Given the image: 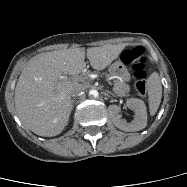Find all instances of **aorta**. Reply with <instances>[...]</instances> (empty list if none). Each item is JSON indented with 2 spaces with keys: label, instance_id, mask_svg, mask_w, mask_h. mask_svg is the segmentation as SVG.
<instances>
[{
  "label": "aorta",
  "instance_id": "1",
  "mask_svg": "<svg viewBox=\"0 0 187 187\" xmlns=\"http://www.w3.org/2000/svg\"><path fill=\"white\" fill-rule=\"evenodd\" d=\"M89 94L91 95V96H93V97H98V91L97 90H95V89H91L90 91H89Z\"/></svg>",
  "mask_w": 187,
  "mask_h": 187
}]
</instances>
